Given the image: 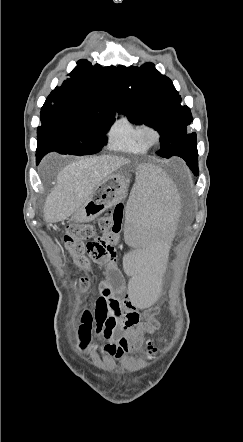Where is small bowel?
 <instances>
[{"label":"small bowel","mask_w":243,"mask_h":442,"mask_svg":"<svg viewBox=\"0 0 243 442\" xmlns=\"http://www.w3.org/2000/svg\"><path fill=\"white\" fill-rule=\"evenodd\" d=\"M108 276L99 285L100 295L93 308L81 310L78 337L81 349H85L93 335L104 342V356L122 360L129 353L142 347L147 336L159 328L158 309L139 314L126 295V286L120 271L116 252L109 261H98ZM132 322V323H131Z\"/></svg>","instance_id":"obj_1"}]
</instances>
